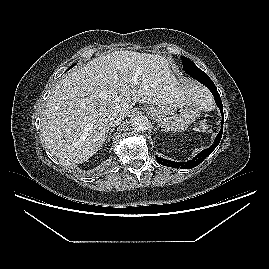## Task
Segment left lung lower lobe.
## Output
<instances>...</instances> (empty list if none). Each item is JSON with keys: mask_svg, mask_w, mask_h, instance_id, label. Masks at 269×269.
Here are the masks:
<instances>
[{"mask_svg": "<svg viewBox=\"0 0 269 269\" xmlns=\"http://www.w3.org/2000/svg\"><path fill=\"white\" fill-rule=\"evenodd\" d=\"M191 77L196 79L200 83L204 84L211 91L213 96L215 97L216 105L219 107V109L221 111V115H222V122H221L222 128H221L220 132L218 133V135L216 136L214 143L209 148L201 151L197 156H195L190 161L175 162V161L163 159L161 157H157V161L164 166L173 167V168H181V169L194 168L197 165H199L208 155H210L213 152V150L217 147V145L219 144L220 139L222 137L223 121H224L223 105H222V101H221L220 95L217 91L215 84L212 82V80L209 78V76L203 71L193 73V74H191Z\"/></svg>", "mask_w": 269, "mask_h": 269, "instance_id": "1", "label": "left lung lower lobe"}]
</instances>
